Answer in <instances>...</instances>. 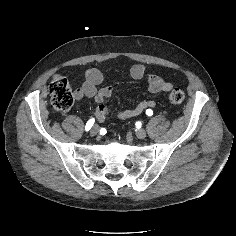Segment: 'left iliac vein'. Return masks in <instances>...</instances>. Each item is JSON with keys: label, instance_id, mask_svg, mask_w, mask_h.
Returning a JSON list of instances; mask_svg holds the SVG:
<instances>
[{"label": "left iliac vein", "instance_id": "obj_1", "mask_svg": "<svg viewBox=\"0 0 236 236\" xmlns=\"http://www.w3.org/2000/svg\"><path fill=\"white\" fill-rule=\"evenodd\" d=\"M136 137L139 139H144L146 137V131L142 128L136 129L135 131Z\"/></svg>", "mask_w": 236, "mask_h": 236}]
</instances>
